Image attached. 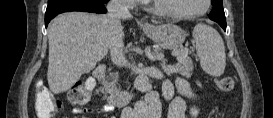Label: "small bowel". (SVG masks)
Returning <instances> with one entry per match:
<instances>
[{"mask_svg":"<svg viewBox=\"0 0 273 118\" xmlns=\"http://www.w3.org/2000/svg\"><path fill=\"white\" fill-rule=\"evenodd\" d=\"M176 91L179 94L178 96H175ZM162 96L168 103V110L165 118H187V100H194L196 98L189 83L183 78H178L175 83L168 79L164 80L162 82ZM109 109L110 107L105 105L95 110L75 108L73 112L76 115H82L91 111L104 113L108 112ZM142 111L148 118H161L162 109L159 98L154 94L150 95L149 106L142 109Z\"/></svg>","mask_w":273,"mask_h":118,"instance_id":"obj_1","label":"small bowel"}]
</instances>
